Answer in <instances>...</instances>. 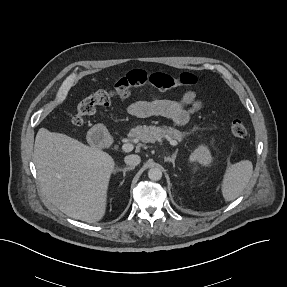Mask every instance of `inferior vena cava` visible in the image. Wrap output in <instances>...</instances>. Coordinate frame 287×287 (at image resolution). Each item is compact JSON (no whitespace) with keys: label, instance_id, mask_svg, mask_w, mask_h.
Masks as SVG:
<instances>
[{"label":"inferior vena cava","instance_id":"1","mask_svg":"<svg viewBox=\"0 0 287 287\" xmlns=\"http://www.w3.org/2000/svg\"><path fill=\"white\" fill-rule=\"evenodd\" d=\"M124 161L130 167H135L141 162V158L138 155L132 154L124 158Z\"/></svg>","mask_w":287,"mask_h":287}]
</instances>
